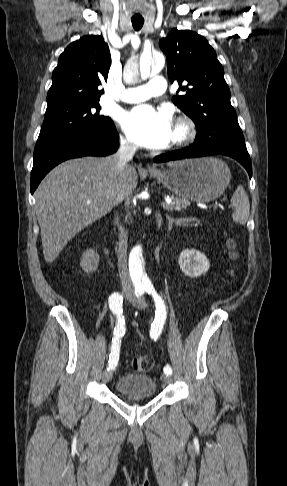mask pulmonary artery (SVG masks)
Returning a JSON list of instances; mask_svg holds the SVG:
<instances>
[{"mask_svg": "<svg viewBox=\"0 0 287 486\" xmlns=\"http://www.w3.org/2000/svg\"><path fill=\"white\" fill-rule=\"evenodd\" d=\"M165 89V79L163 77H154L145 85L123 90L120 98L127 103H136L145 101L154 96H159L164 93Z\"/></svg>", "mask_w": 287, "mask_h": 486, "instance_id": "pulmonary-artery-1", "label": "pulmonary artery"}]
</instances>
